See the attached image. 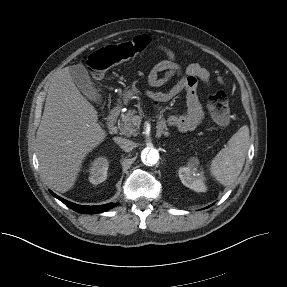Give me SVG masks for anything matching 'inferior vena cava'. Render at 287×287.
<instances>
[{
  "instance_id": "obj_1",
  "label": "inferior vena cava",
  "mask_w": 287,
  "mask_h": 287,
  "mask_svg": "<svg viewBox=\"0 0 287 287\" xmlns=\"http://www.w3.org/2000/svg\"><path fill=\"white\" fill-rule=\"evenodd\" d=\"M113 140L117 143L125 152H129L134 148V142L122 137H114Z\"/></svg>"
}]
</instances>
